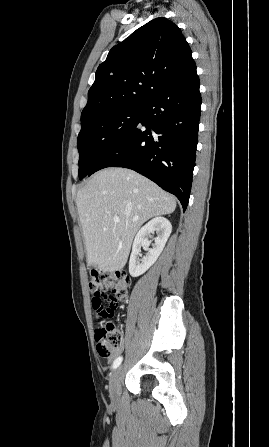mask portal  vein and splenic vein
I'll return each mask as SVG.
<instances>
[{
  "label": "portal vein and splenic vein",
  "instance_id": "1",
  "mask_svg": "<svg viewBox=\"0 0 269 447\" xmlns=\"http://www.w3.org/2000/svg\"><path fill=\"white\" fill-rule=\"evenodd\" d=\"M113 220L114 222H120L118 216H114ZM132 222H137V220H132Z\"/></svg>",
  "mask_w": 269,
  "mask_h": 447
}]
</instances>
